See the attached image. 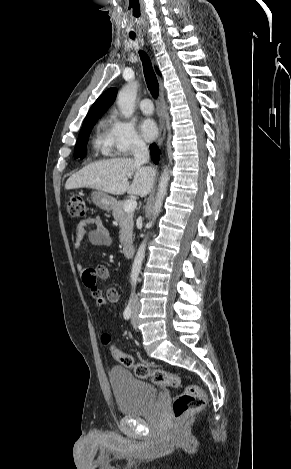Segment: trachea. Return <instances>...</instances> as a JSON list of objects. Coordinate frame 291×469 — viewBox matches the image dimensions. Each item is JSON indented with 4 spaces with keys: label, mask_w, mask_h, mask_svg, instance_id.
<instances>
[{
    "label": "trachea",
    "mask_w": 291,
    "mask_h": 469,
    "mask_svg": "<svg viewBox=\"0 0 291 469\" xmlns=\"http://www.w3.org/2000/svg\"><path fill=\"white\" fill-rule=\"evenodd\" d=\"M132 38V37H131ZM134 39V37H133ZM140 58L143 64L144 76L147 84V88L150 91L151 95L154 98H157L159 95V84L156 77V74L153 70L151 61L148 55L144 51H139Z\"/></svg>",
    "instance_id": "3493384b"
}]
</instances>
